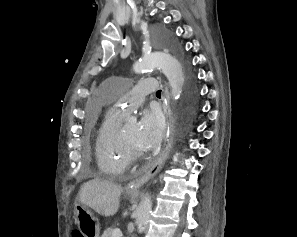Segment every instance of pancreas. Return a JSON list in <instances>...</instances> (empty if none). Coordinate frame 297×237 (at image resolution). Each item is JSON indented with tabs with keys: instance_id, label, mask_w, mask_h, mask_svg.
I'll use <instances>...</instances> for the list:
<instances>
[{
	"instance_id": "pancreas-1",
	"label": "pancreas",
	"mask_w": 297,
	"mask_h": 237,
	"mask_svg": "<svg viewBox=\"0 0 297 237\" xmlns=\"http://www.w3.org/2000/svg\"><path fill=\"white\" fill-rule=\"evenodd\" d=\"M113 231H114L113 228H108L103 232L101 237H112Z\"/></svg>"
}]
</instances>
